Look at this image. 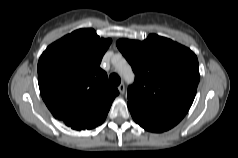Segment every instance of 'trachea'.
I'll list each match as a JSON object with an SVG mask.
<instances>
[{"label": "trachea", "instance_id": "3493384b", "mask_svg": "<svg viewBox=\"0 0 238 158\" xmlns=\"http://www.w3.org/2000/svg\"><path fill=\"white\" fill-rule=\"evenodd\" d=\"M109 81H110L111 85L118 86L120 84V82H121V79H120V77L117 74L112 73L109 76Z\"/></svg>", "mask_w": 238, "mask_h": 158}]
</instances>
